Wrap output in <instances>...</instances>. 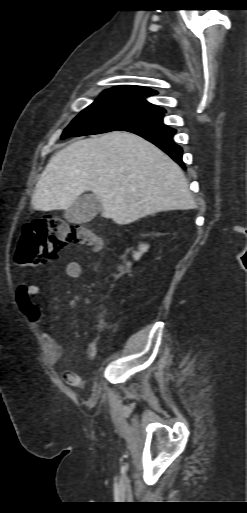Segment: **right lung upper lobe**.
Masks as SVG:
<instances>
[{"label": "right lung upper lobe", "instance_id": "1", "mask_svg": "<svg viewBox=\"0 0 247 513\" xmlns=\"http://www.w3.org/2000/svg\"><path fill=\"white\" fill-rule=\"evenodd\" d=\"M109 90L122 91V92H127V93H130V94H133L134 96H136L139 99L145 101L146 103H148L145 100L146 97H149V96L154 95V94L157 93L156 91H154V90H152L150 88L139 87V86H117V87H113L112 89H109ZM148 104H150V103H148Z\"/></svg>", "mask_w": 247, "mask_h": 513}]
</instances>
